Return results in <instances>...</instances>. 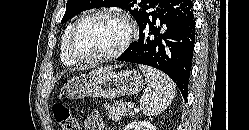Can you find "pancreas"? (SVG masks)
I'll return each instance as SVG.
<instances>
[{
	"label": "pancreas",
	"mask_w": 249,
	"mask_h": 130,
	"mask_svg": "<svg viewBox=\"0 0 249 130\" xmlns=\"http://www.w3.org/2000/svg\"><path fill=\"white\" fill-rule=\"evenodd\" d=\"M108 110V116L114 121H118L122 116L132 114V110L126 107V103L123 101H116L113 105L105 107Z\"/></svg>",
	"instance_id": "1"
}]
</instances>
